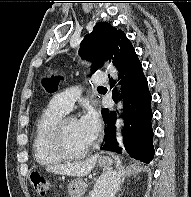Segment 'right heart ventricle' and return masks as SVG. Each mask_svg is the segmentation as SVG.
I'll return each mask as SVG.
<instances>
[{
    "label": "right heart ventricle",
    "mask_w": 191,
    "mask_h": 197,
    "mask_svg": "<svg viewBox=\"0 0 191 197\" xmlns=\"http://www.w3.org/2000/svg\"><path fill=\"white\" fill-rule=\"evenodd\" d=\"M65 113V111L51 101L36 121L32 149L34 158L40 165H55L64 160L53 149L50 135L54 125L65 115Z\"/></svg>",
    "instance_id": "1"
}]
</instances>
